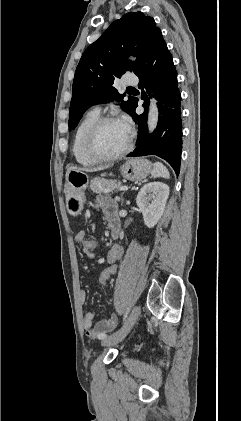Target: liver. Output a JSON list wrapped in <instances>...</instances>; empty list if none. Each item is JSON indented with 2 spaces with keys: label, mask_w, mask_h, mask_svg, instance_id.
Masks as SVG:
<instances>
[{
  "label": "liver",
  "mask_w": 241,
  "mask_h": 421,
  "mask_svg": "<svg viewBox=\"0 0 241 421\" xmlns=\"http://www.w3.org/2000/svg\"><path fill=\"white\" fill-rule=\"evenodd\" d=\"M108 167L109 166H100V167H97V168H80V167L72 166V167H69L67 169L66 177H67L68 173L72 170H79V171H85V172H97V171L104 170Z\"/></svg>",
  "instance_id": "liver-1"
}]
</instances>
